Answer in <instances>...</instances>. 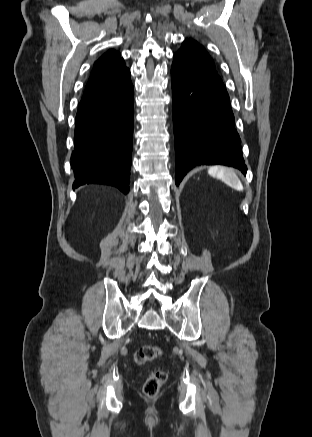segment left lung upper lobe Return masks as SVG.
I'll return each instance as SVG.
<instances>
[{"label": "left lung upper lobe", "instance_id": "obj_1", "mask_svg": "<svg viewBox=\"0 0 312 437\" xmlns=\"http://www.w3.org/2000/svg\"><path fill=\"white\" fill-rule=\"evenodd\" d=\"M178 52H184L190 54L192 57L196 58L200 62L210 66L211 68L215 69V65L209 54L206 52V50L199 45L197 42L187 39L183 42L182 47L179 49Z\"/></svg>", "mask_w": 312, "mask_h": 437}]
</instances>
